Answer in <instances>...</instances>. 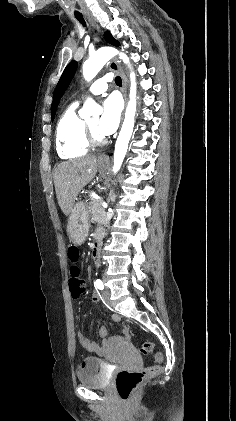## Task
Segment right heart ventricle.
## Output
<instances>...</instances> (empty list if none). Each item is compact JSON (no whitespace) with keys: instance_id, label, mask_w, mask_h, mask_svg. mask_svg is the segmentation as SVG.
<instances>
[{"instance_id":"1","label":"right heart ventricle","mask_w":236,"mask_h":421,"mask_svg":"<svg viewBox=\"0 0 236 421\" xmlns=\"http://www.w3.org/2000/svg\"><path fill=\"white\" fill-rule=\"evenodd\" d=\"M77 106L76 102L72 103L62 113L56 127V151L65 160L79 159L89 151L81 134L83 118L77 112Z\"/></svg>"}]
</instances>
